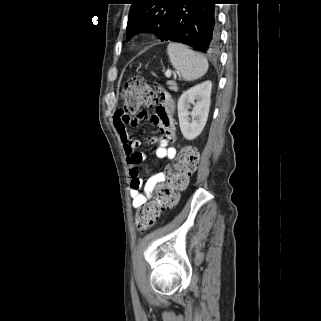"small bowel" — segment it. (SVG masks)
<instances>
[{"mask_svg": "<svg viewBox=\"0 0 321 321\" xmlns=\"http://www.w3.org/2000/svg\"><path fill=\"white\" fill-rule=\"evenodd\" d=\"M152 88H155V85H152ZM159 94L156 112L153 115H149L146 111L132 115L118 109L113 118L114 128L123 144L129 165L130 196L134 208H141L153 197L156 188L164 183L165 174L163 172L153 173L145 183L143 182L139 166L145 161L146 155L137 150L140 143L131 137L128 128L136 127L142 120H150L160 130V135L149 140V144L155 145L156 157L173 160L177 155L176 148L170 146L176 135L175 103L169 94L162 91H159Z\"/></svg>", "mask_w": 321, "mask_h": 321, "instance_id": "c3829d8e", "label": "small bowel"}]
</instances>
